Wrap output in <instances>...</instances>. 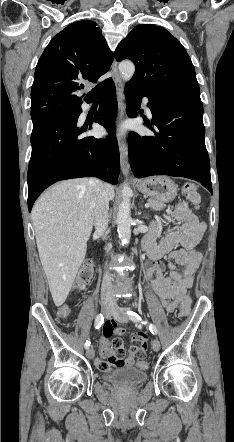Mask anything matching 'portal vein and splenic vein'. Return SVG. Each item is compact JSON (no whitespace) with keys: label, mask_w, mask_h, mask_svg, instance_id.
<instances>
[{"label":"portal vein and splenic vein","mask_w":234,"mask_h":442,"mask_svg":"<svg viewBox=\"0 0 234 442\" xmlns=\"http://www.w3.org/2000/svg\"><path fill=\"white\" fill-rule=\"evenodd\" d=\"M149 206H150L149 203L145 204V207H146V208L149 207ZM77 225H80V223H77Z\"/></svg>","instance_id":"portal-vein-and-splenic-vein-1"}]
</instances>
